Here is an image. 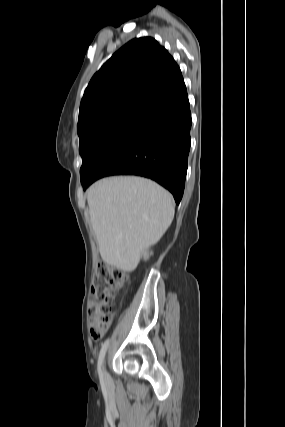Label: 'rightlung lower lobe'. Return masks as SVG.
Wrapping results in <instances>:
<instances>
[{"mask_svg":"<svg viewBox=\"0 0 285 427\" xmlns=\"http://www.w3.org/2000/svg\"><path fill=\"white\" fill-rule=\"evenodd\" d=\"M191 113L183 78L154 96L140 115L83 182L84 190L109 175L150 178L181 201L190 150Z\"/></svg>","mask_w":285,"mask_h":427,"instance_id":"right-lung-lower-lobe-1","label":"right lung lower lobe"}]
</instances>
